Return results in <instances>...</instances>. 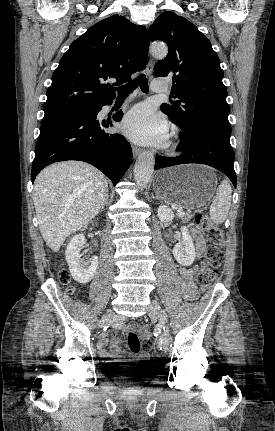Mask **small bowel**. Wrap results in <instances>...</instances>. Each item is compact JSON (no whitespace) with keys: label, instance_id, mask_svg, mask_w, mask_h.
I'll return each instance as SVG.
<instances>
[{"label":"small bowel","instance_id":"c3829d8e","mask_svg":"<svg viewBox=\"0 0 275 431\" xmlns=\"http://www.w3.org/2000/svg\"><path fill=\"white\" fill-rule=\"evenodd\" d=\"M192 236L195 240L197 254L200 256L205 249V239L197 229H192ZM196 273V267H181L179 269V279L181 293L186 300L193 301L197 298V291L194 283V275ZM123 329L132 328L136 330L141 338L149 340L151 337L150 332L146 326L142 325H122ZM100 354L106 358H116L119 355V338L116 336L104 335L99 341ZM110 349V352L107 349Z\"/></svg>","mask_w":275,"mask_h":431}]
</instances>
